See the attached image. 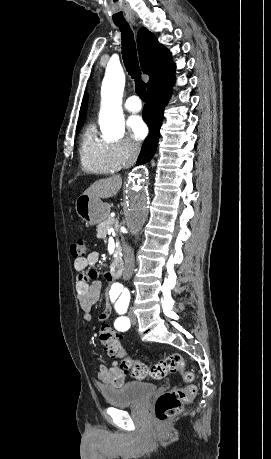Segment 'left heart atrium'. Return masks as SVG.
I'll list each match as a JSON object with an SVG mask.
<instances>
[{
	"label": "left heart atrium",
	"mask_w": 271,
	"mask_h": 459,
	"mask_svg": "<svg viewBox=\"0 0 271 459\" xmlns=\"http://www.w3.org/2000/svg\"><path fill=\"white\" fill-rule=\"evenodd\" d=\"M129 132L132 138L139 142L146 136L147 128L145 123L140 117H133L128 123Z\"/></svg>",
	"instance_id": "left-heart-atrium-1"
}]
</instances>
